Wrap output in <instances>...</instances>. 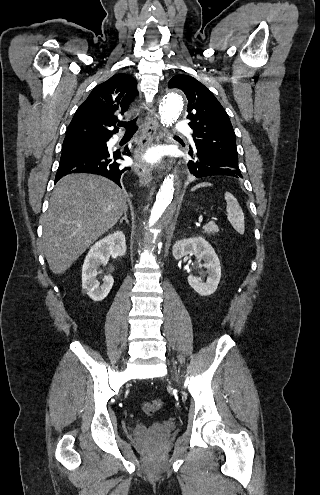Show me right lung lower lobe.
Here are the masks:
<instances>
[{
  "instance_id": "98d812e1",
  "label": "right lung lower lobe",
  "mask_w": 320,
  "mask_h": 495,
  "mask_svg": "<svg viewBox=\"0 0 320 495\" xmlns=\"http://www.w3.org/2000/svg\"><path fill=\"white\" fill-rule=\"evenodd\" d=\"M124 153L130 156L128 147L124 148ZM117 159H122L121 153L109 151L106 143L104 147L97 148H65L61 154L55 183L67 174L92 173L107 177L121 186L120 178L130 167L123 168L116 162Z\"/></svg>"
}]
</instances>
